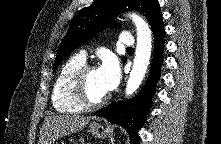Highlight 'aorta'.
<instances>
[{
  "label": "aorta",
  "mask_w": 221,
  "mask_h": 144,
  "mask_svg": "<svg viewBox=\"0 0 221 144\" xmlns=\"http://www.w3.org/2000/svg\"><path fill=\"white\" fill-rule=\"evenodd\" d=\"M136 30H137V45L133 67L126 85V95H132L140 86L151 56V30L148 24L138 15L131 14Z\"/></svg>",
  "instance_id": "1"
}]
</instances>
